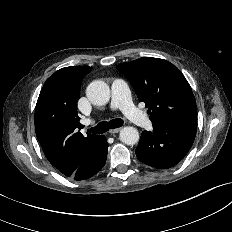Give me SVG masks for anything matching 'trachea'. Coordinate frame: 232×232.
<instances>
[{"label": "trachea", "instance_id": "1", "mask_svg": "<svg viewBox=\"0 0 232 232\" xmlns=\"http://www.w3.org/2000/svg\"><path fill=\"white\" fill-rule=\"evenodd\" d=\"M124 121L120 118L111 121H102L97 126L88 129L87 131L94 134H102L107 132L110 128L115 129L123 125Z\"/></svg>", "mask_w": 232, "mask_h": 232}]
</instances>
